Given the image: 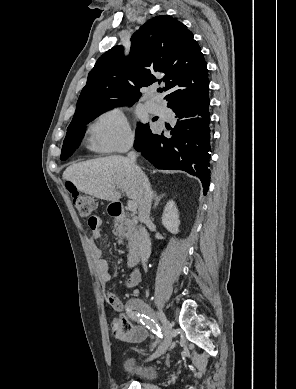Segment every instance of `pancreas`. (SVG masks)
<instances>
[{
  "instance_id": "pancreas-1",
  "label": "pancreas",
  "mask_w": 296,
  "mask_h": 389,
  "mask_svg": "<svg viewBox=\"0 0 296 389\" xmlns=\"http://www.w3.org/2000/svg\"><path fill=\"white\" fill-rule=\"evenodd\" d=\"M114 235L118 237L119 243L123 242V239L130 241L133 236V228L130 224L124 223L122 220L116 219L114 224Z\"/></svg>"
}]
</instances>
